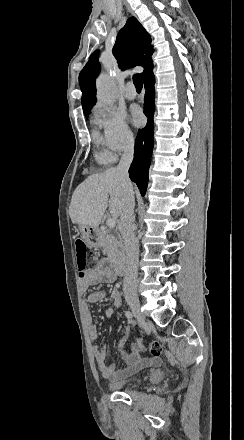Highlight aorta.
Wrapping results in <instances>:
<instances>
[{
  "mask_svg": "<svg viewBox=\"0 0 244 440\" xmlns=\"http://www.w3.org/2000/svg\"><path fill=\"white\" fill-rule=\"evenodd\" d=\"M97 99L107 105L115 102L116 83L107 74L101 73L96 80Z\"/></svg>",
  "mask_w": 244,
  "mask_h": 440,
  "instance_id": "762f6f07",
  "label": "aorta"
}]
</instances>
